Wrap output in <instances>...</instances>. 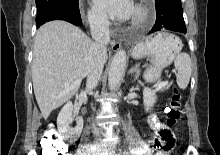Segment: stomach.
<instances>
[{"instance_id":"0dacf381","label":"stomach","mask_w":220,"mask_h":155,"mask_svg":"<svg viewBox=\"0 0 220 155\" xmlns=\"http://www.w3.org/2000/svg\"><path fill=\"white\" fill-rule=\"evenodd\" d=\"M181 49L182 42L177 36L160 32L137 45L132 56L134 58L150 56L152 65L146 70L144 76L148 81L154 82L160 77L161 70L172 63Z\"/></svg>"}]
</instances>
